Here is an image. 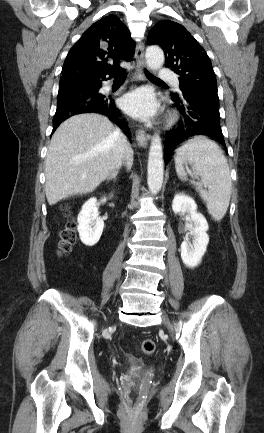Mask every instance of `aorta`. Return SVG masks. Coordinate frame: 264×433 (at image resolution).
<instances>
[{"label":"aorta","instance_id":"762f6f07","mask_svg":"<svg viewBox=\"0 0 264 433\" xmlns=\"http://www.w3.org/2000/svg\"><path fill=\"white\" fill-rule=\"evenodd\" d=\"M146 63L152 70H158L164 63V53L157 46H150L146 49ZM147 184L152 194H157L163 184L164 161L162 143L159 134H154L151 139L148 167H147Z\"/></svg>","mask_w":264,"mask_h":433}]
</instances>
